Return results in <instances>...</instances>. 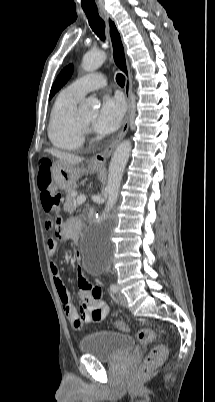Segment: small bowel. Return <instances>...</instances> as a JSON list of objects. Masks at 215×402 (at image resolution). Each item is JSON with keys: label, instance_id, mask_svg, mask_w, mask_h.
<instances>
[{"label": "small bowel", "instance_id": "1", "mask_svg": "<svg viewBox=\"0 0 215 402\" xmlns=\"http://www.w3.org/2000/svg\"><path fill=\"white\" fill-rule=\"evenodd\" d=\"M56 236L61 242H67L72 239L75 236V222L72 220L65 223L58 222L56 225ZM47 250L50 256H55L58 251V241L54 238L48 239ZM77 263L79 275L78 284L80 288L79 295L83 302L80 312H78L73 305L69 292L60 276L59 266L55 262L51 264V271L64 313L72 324V327L75 330H80L86 323H96L103 320L109 312V306L102 299L100 287L93 285L92 282L82 274L79 257H77Z\"/></svg>", "mask_w": 215, "mask_h": 402}]
</instances>
